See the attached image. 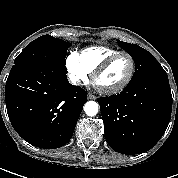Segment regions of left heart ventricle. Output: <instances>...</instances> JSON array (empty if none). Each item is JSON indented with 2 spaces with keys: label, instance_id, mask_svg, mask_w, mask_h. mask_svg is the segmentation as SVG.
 Returning a JSON list of instances; mask_svg holds the SVG:
<instances>
[{
  "label": "left heart ventricle",
  "instance_id": "1",
  "mask_svg": "<svg viewBox=\"0 0 178 178\" xmlns=\"http://www.w3.org/2000/svg\"><path fill=\"white\" fill-rule=\"evenodd\" d=\"M131 62L127 56L115 60L98 78L97 85L109 89L121 84L128 76Z\"/></svg>",
  "mask_w": 178,
  "mask_h": 178
}]
</instances>
